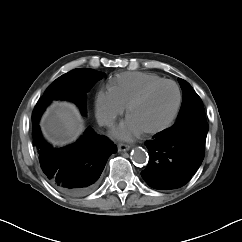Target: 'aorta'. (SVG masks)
I'll return each instance as SVG.
<instances>
[{
	"label": "aorta",
	"mask_w": 242,
	"mask_h": 242,
	"mask_svg": "<svg viewBox=\"0 0 242 242\" xmlns=\"http://www.w3.org/2000/svg\"><path fill=\"white\" fill-rule=\"evenodd\" d=\"M132 160L137 164H143L148 161V153L145 149L141 147H136L131 152Z\"/></svg>",
	"instance_id": "obj_1"
}]
</instances>
